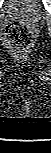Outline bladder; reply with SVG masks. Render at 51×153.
<instances>
[{
    "instance_id": "bladder-1",
    "label": "bladder",
    "mask_w": 51,
    "mask_h": 153,
    "mask_svg": "<svg viewBox=\"0 0 51 153\" xmlns=\"http://www.w3.org/2000/svg\"><path fill=\"white\" fill-rule=\"evenodd\" d=\"M7 12L29 21H38L43 16L44 8L40 0H10Z\"/></svg>"
}]
</instances>
